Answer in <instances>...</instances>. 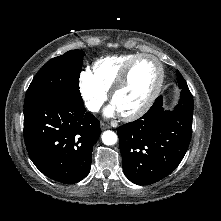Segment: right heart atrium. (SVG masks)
<instances>
[{
	"mask_svg": "<svg viewBox=\"0 0 221 221\" xmlns=\"http://www.w3.org/2000/svg\"><path fill=\"white\" fill-rule=\"evenodd\" d=\"M79 91L86 108L92 112L98 111L107 99V92L95 81L89 71L81 72Z\"/></svg>",
	"mask_w": 221,
	"mask_h": 221,
	"instance_id": "obj_1",
	"label": "right heart atrium"
}]
</instances>
